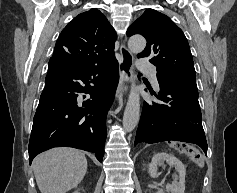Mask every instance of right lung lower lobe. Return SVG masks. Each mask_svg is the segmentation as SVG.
<instances>
[{
    "label": "right lung lower lobe",
    "instance_id": "obj_1",
    "mask_svg": "<svg viewBox=\"0 0 237 193\" xmlns=\"http://www.w3.org/2000/svg\"><path fill=\"white\" fill-rule=\"evenodd\" d=\"M118 81L116 59L82 71L49 63L29 141L30 164L37 154L59 146L94 152L101 162L106 116ZM82 92L92 99L79 103Z\"/></svg>",
    "mask_w": 237,
    "mask_h": 193
}]
</instances>
